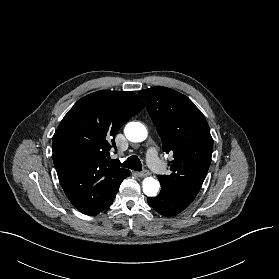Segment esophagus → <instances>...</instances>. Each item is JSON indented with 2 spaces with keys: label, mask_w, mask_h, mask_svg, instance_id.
Listing matches in <instances>:
<instances>
[{
  "label": "esophagus",
  "mask_w": 279,
  "mask_h": 279,
  "mask_svg": "<svg viewBox=\"0 0 279 279\" xmlns=\"http://www.w3.org/2000/svg\"><path fill=\"white\" fill-rule=\"evenodd\" d=\"M138 175H139V177H147L150 175V172L148 170H143Z\"/></svg>",
  "instance_id": "1"
}]
</instances>
